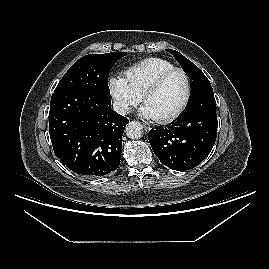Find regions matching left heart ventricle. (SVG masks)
Returning <instances> with one entry per match:
<instances>
[{"instance_id": "1", "label": "left heart ventricle", "mask_w": 269, "mask_h": 269, "mask_svg": "<svg viewBox=\"0 0 269 269\" xmlns=\"http://www.w3.org/2000/svg\"><path fill=\"white\" fill-rule=\"evenodd\" d=\"M186 89L185 76L181 72H174L156 92L146 98L144 105L149 108L155 118L165 117L182 104Z\"/></svg>"}]
</instances>
